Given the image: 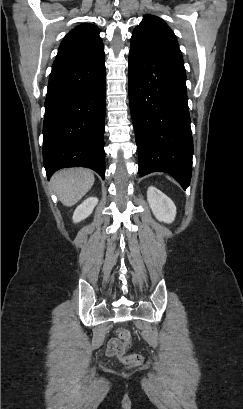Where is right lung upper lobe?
Segmentation results:
<instances>
[{
	"label": "right lung upper lobe",
	"mask_w": 243,
	"mask_h": 409,
	"mask_svg": "<svg viewBox=\"0 0 243 409\" xmlns=\"http://www.w3.org/2000/svg\"><path fill=\"white\" fill-rule=\"evenodd\" d=\"M101 48L99 28L93 24H81L64 37L52 67L86 58Z\"/></svg>",
	"instance_id": "obj_1"
}]
</instances>
